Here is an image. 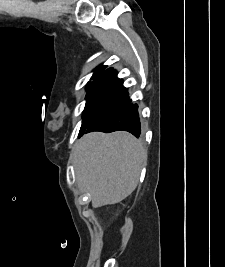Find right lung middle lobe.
Returning <instances> with one entry per match:
<instances>
[{"label":"right lung middle lobe","instance_id":"obj_1","mask_svg":"<svg viewBox=\"0 0 225 267\" xmlns=\"http://www.w3.org/2000/svg\"><path fill=\"white\" fill-rule=\"evenodd\" d=\"M94 82V81H93ZM92 82V83H93ZM90 81L88 82V85H87V87H86V90L88 91L89 90V88H90V86H91V84H92Z\"/></svg>","mask_w":225,"mask_h":267}]
</instances>
